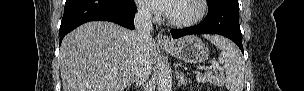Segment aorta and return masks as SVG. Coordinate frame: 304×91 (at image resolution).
I'll use <instances>...</instances> for the list:
<instances>
[{"instance_id":"aorta-1","label":"aorta","mask_w":304,"mask_h":91,"mask_svg":"<svg viewBox=\"0 0 304 91\" xmlns=\"http://www.w3.org/2000/svg\"><path fill=\"white\" fill-rule=\"evenodd\" d=\"M158 91H171L172 88V80L170 75L162 70L158 76Z\"/></svg>"}]
</instances>
